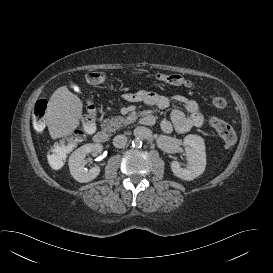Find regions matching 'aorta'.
I'll use <instances>...</instances> for the list:
<instances>
[{"label":"aorta","mask_w":273,"mask_h":273,"mask_svg":"<svg viewBox=\"0 0 273 273\" xmlns=\"http://www.w3.org/2000/svg\"><path fill=\"white\" fill-rule=\"evenodd\" d=\"M132 146L133 147H141L142 146V141L139 138H136L135 140L132 141Z\"/></svg>","instance_id":"obj_1"}]
</instances>
